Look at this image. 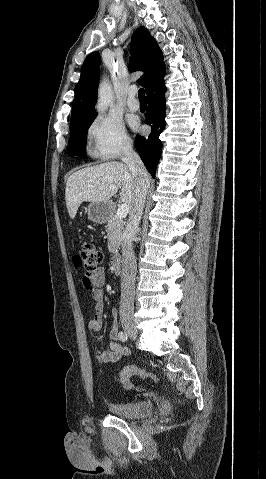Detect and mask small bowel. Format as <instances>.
<instances>
[{
  "label": "small bowel",
  "mask_w": 266,
  "mask_h": 479,
  "mask_svg": "<svg viewBox=\"0 0 266 479\" xmlns=\"http://www.w3.org/2000/svg\"><path fill=\"white\" fill-rule=\"evenodd\" d=\"M90 280L92 282L91 295L92 299L95 301V313L88 323V328L93 333H98L103 328V318H104V285L106 283V273L103 268L95 269L91 275ZM113 316V325L110 331V337L112 342L110 343L109 351H104L98 349L95 357L97 361L101 364L105 363H115L119 361L123 356L129 354L128 347L122 345L118 342V326H117V316L118 311L114 309L112 311Z\"/></svg>",
  "instance_id": "1"
}]
</instances>
